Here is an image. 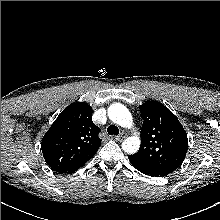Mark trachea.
<instances>
[{"label":"trachea","mask_w":220,"mask_h":220,"mask_svg":"<svg viewBox=\"0 0 220 220\" xmlns=\"http://www.w3.org/2000/svg\"><path fill=\"white\" fill-rule=\"evenodd\" d=\"M107 132H108V134L118 135V134H119V129H118V127L115 126V125H110V126L107 128Z\"/></svg>","instance_id":"trachea-1"}]
</instances>
